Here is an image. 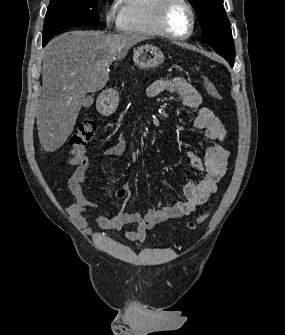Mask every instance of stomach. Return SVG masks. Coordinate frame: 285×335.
Instances as JSON below:
<instances>
[{
	"mask_svg": "<svg viewBox=\"0 0 285 335\" xmlns=\"http://www.w3.org/2000/svg\"><path fill=\"white\" fill-rule=\"evenodd\" d=\"M133 62L139 68H157L164 62V54L156 46H140L133 54ZM119 96L115 90H105L97 100L99 112H114L118 106Z\"/></svg>",
	"mask_w": 285,
	"mask_h": 335,
	"instance_id": "0dacf381",
	"label": "stomach"
}]
</instances>
